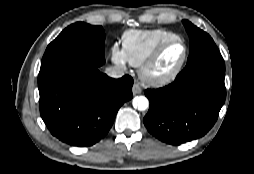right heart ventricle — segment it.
I'll list each match as a JSON object with an SVG mask.
<instances>
[{"label": "right heart ventricle", "instance_id": "1", "mask_svg": "<svg viewBox=\"0 0 254 174\" xmlns=\"http://www.w3.org/2000/svg\"><path fill=\"white\" fill-rule=\"evenodd\" d=\"M178 37L166 29L127 30L122 35V49L127 62L132 66H140L162 42Z\"/></svg>", "mask_w": 254, "mask_h": 174}]
</instances>
